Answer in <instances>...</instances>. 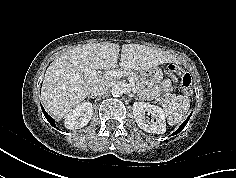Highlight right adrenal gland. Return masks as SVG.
<instances>
[{
    "mask_svg": "<svg viewBox=\"0 0 236 178\" xmlns=\"http://www.w3.org/2000/svg\"><path fill=\"white\" fill-rule=\"evenodd\" d=\"M90 98H92V99H94V97L91 95V96H89Z\"/></svg>",
    "mask_w": 236,
    "mask_h": 178,
    "instance_id": "right-adrenal-gland-1",
    "label": "right adrenal gland"
}]
</instances>
